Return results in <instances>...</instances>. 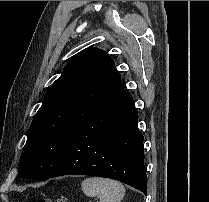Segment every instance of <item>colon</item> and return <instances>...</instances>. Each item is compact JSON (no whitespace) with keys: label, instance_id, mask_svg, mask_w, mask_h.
<instances>
[{"label":"colon","instance_id":"obj_1","mask_svg":"<svg viewBox=\"0 0 209 202\" xmlns=\"http://www.w3.org/2000/svg\"><path fill=\"white\" fill-rule=\"evenodd\" d=\"M36 202H67V200L64 198H56L52 200L50 198L42 197V198L37 199Z\"/></svg>","mask_w":209,"mask_h":202}]
</instances>
